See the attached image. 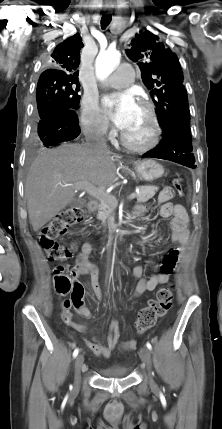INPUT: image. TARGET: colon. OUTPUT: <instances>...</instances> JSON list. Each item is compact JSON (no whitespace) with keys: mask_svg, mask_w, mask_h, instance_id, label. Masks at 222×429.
<instances>
[{"mask_svg":"<svg viewBox=\"0 0 222 429\" xmlns=\"http://www.w3.org/2000/svg\"><path fill=\"white\" fill-rule=\"evenodd\" d=\"M165 200L176 195L183 197V189L179 180H173L172 186L165 187L161 194ZM86 218V211L80 207L67 208L51 219L41 230L38 242L50 260L63 261L71 256V250L58 242L59 237L67 228L77 225ZM54 288L58 295L66 296L70 292L79 293L82 286L72 279L63 267L54 271ZM173 286L161 288L155 299L148 301L142 308L135 322V330L142 334L152 328L156 322L170 309L173 301Z\"/></svg>","mask_w":222,"mask_h":429,"instance_id":"1","label":"colon"}]
</instances>
